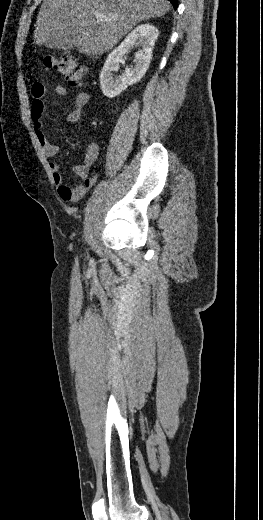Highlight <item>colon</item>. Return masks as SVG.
<instances>
[{"mask_svg":"<svg viewBox=\"0 0 263 520\" xmlns=\"http://www.w3.org/2000/svg\"><path fill=\"white\" fill-rule=\"evenodd\" d=\"M41 63L62 76L72 87H80L86 68L68 56L46 54L40 57Z\"/></svg>","mask_w":263,"mask_h":520,"instance_id":"5ec220e1","label":"colon"}]
</instances>
